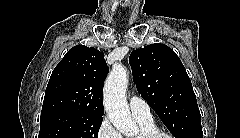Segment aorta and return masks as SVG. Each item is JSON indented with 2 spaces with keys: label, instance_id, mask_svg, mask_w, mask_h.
<instances>
[{
  "label": "aorta",
  "instance_id": "1",
  "mask_svg": "<svg viewBox=\"0 0 240 138\" xmlns=\"http://www.w3.org/2000/svg\"><path fill=\"white\" fill-rule=\"evenodd\" d=\"M127 85V70L120 65H114L105 82L103 99L110 122L126 137H132L137 127L132 121L126 101Z\"/></svg>",
  "mask_w": 240,
  "mask_h": 138
}]
</instances>
